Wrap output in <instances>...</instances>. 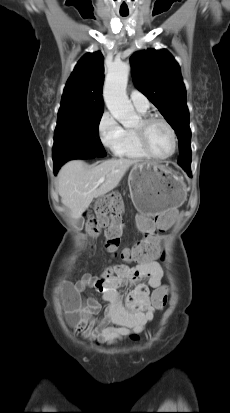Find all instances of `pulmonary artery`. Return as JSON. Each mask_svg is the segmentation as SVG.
I'll list each match as a JSON object with an SVG mask.
<instances>
[{
    "instance_id": "obj_1",
    "label": "pulmonary artery",
    "mask_w": 230,
    "mask_h": 413,
    "mask_svg": "<svg viewBox=\"0 0 230 413\" xmlns=\"http://www.w3.org/2000/svg\"><path fill=\"white\" fill-rule=\"evenodd\" d=\"M130 99H131L132 104L137 110H141V111L148 110L149 100L143 93L137 90H132L130 92Z\"/></svg>"
}]
</instances>
